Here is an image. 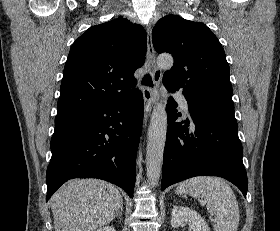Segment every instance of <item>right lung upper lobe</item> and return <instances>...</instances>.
<instances>
[{"mask_svg":"<svg viewBox=\"0 0 280 231\" xmlns=\"http://www.w3.org/2000/svg\"><path fill=\"white\" fill-rule=\"evenodd\" d=\"M146 32L118 17L92 26L72 45L65 64L56 119L111 105L135 95L134 72L143 65Z\"/></svg>","mask_w":280,"mask_h":231,"instance_id":"cb5924a9","label":"right lung upper lobe"}]
</instances>
